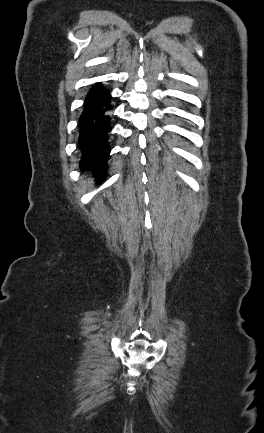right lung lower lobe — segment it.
<instances>
[{
    "label": "right lung lower lobe",
    "mask_w": 264,
    "mask_h": 433,
    "mask_svg": "<svg viewBox=\"0 0 264 433\" xmlns=\"http://www.w3.org/2000/svg\"><path fill=\"white\" fill-rule=\"evenodd\" d=\"M110 100L111 95L107 89L100 83L93 85L85 98L79 118V144L83 154L80 165L82 170L93 169L99 180L105 174L110 153L107 142L111 130Z\"/></svg>",
    "instance_id": "right-lung-lower-lobe-1"
}]
</instances>
